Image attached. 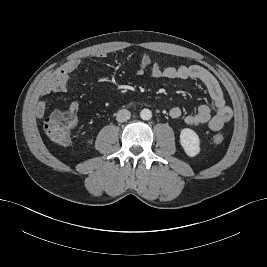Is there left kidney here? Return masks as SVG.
Instances as JSON below:
<instances>
[{"instance_id":"5707ae66","label":"left kidney","mask_w":267,"mask_h":267,"mask_svg":"<svg viewBox=\"0 0 267 267\" xmlns=\"http://www.w3.org/2000/svg\"><path fill=\"white\" fill-rule=\"evenodd\" d=\"M180 143L189 157H194L200 152V139L195 131L184 128L180 133Z\"/></svg>"}]
</instances>
